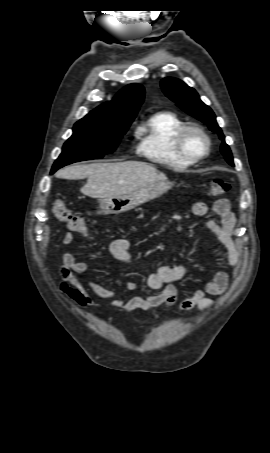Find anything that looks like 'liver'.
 Listing matches in <instances>:
<instances>
[{"label":"liver","mask_w":270,"mask_h":453,"mask_svg":"<svg viewBox=\"0 0 270 453\" xmlns=\"http://www.w3.org/2000/svg\"><path fill=\"white\" fill-rule=\"evenodd\" d=\"M56 176L68 180L88 178L81 192L101 199L130 194L152 183L167 180L166 175L155 167L138 161L67 166L60 169Z\"/></svg>","instance_id":"liver-1"}]
</instances>
